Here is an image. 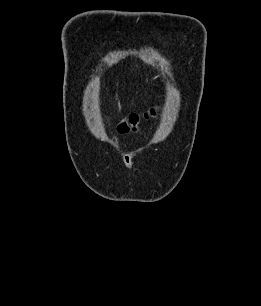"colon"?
Masks as SVG:
<instances>
[{
	"mask_svg": "<svg viewBox=\"0 0 261 306\" xmlns=\"http://www.w3.org/2000/svg\"><path fill=\"white\" fill-rule=\"evenodd\" d=\"M156 114V110L155 109H151L149 112L144 114L145 118H149L150 116H154ZM140 119V116L138 114H130L127 117H125L123 120H121L118 125H117V129L119 132L121 133H126L129 130L133 129L136 124L138 123Z\"/></svg>",
	"mask_w": 261,
	"mask_h": 306,
	"instance_id": "1",
	"label": "colon"
}]
</instances>
